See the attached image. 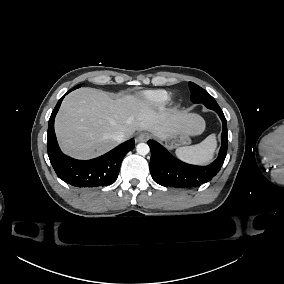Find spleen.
Masks as SVG:
<instances>
[{"label": "spleen", "instance_id": "1", "mask_svg": "<svg viewBox=\"0 0 284 284\" xmlns=\"http://www.w3.org/2000/svg\"><path fill=\"white\" fill-rule=\"evenodd\" d=\"M216 147V135L211 134L201 143L192 146L180 147L175 153L182 161L191 164L204 165L213 159Z\"/></svg>", "mask_w": 284, "mask_h": 284}]
</instances>
